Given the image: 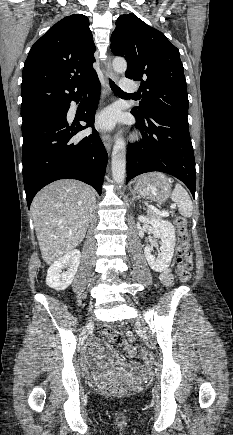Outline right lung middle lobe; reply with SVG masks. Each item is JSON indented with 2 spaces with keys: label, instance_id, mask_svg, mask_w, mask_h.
Here are the masks:
<instances>
[{
  "label": "right lung middle lobe",
  "instance_id": "obj_1",
  "mask_svg": "<svg viewBox=\"0 0 233 435\" xmlns=\"http://www.w3.org/2000/svg\"><path fill=\"white\" fill-rule=\"evenodd\" d=\"M66 106L63 107H57V108H51V109H47V110H43L37 113H33L30 115H26V116H22L23 122L22 125H26L28 123H31L33 121H36L44 116H47L49 114H53V113H58V112H62L64 111Z\"/></svg>",
  "mask_w": 233,
  "mask_h": 435
}]
</instances>
